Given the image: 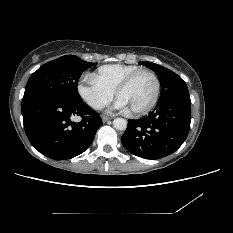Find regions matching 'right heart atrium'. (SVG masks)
I'll use <instances>...</instances> for the list:
<instances>
[{
    "label": "right heart atrium",
    "instance_id": "right-heart-atrium-1",
    "mask_svg": "<svg viewBox=\"0 0 233 233\" xmlns=\"http://www.w3.org/2000/svg\"><path fill=\"white\" fill-rule=\"evenodd\" d=\"M77 92L82 100L94 110L103 109L113 98V92L90 77L84 78L78 84Z\"/></svg>",
    "mask_w": 233,
    "mask_h": 233
}]
</instances>
